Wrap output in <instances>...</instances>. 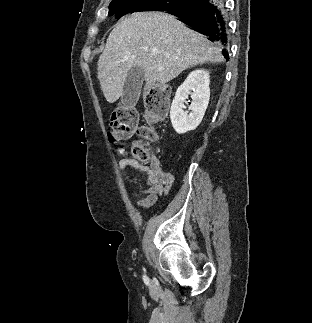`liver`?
<instances>
[{"instance_id":"liver-1","label":"liver","mask_w":312,"mask_h":323,"mask_svg":"<svg viewBox=\"0 0 312 323\" xmlns=\"http://www.w3.org/2000/svg\"><path fill=\"white\" fill-rule=\"evenodd\" d=\"M206 62H225L220 48L165 12H136L121 18L98 60V80L109 104L123 94L127 72L142 68L147 86L167 84Z\"/></svg>"}]
</instances>
